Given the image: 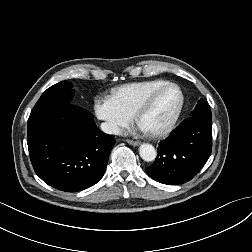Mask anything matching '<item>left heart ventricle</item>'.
Here are the masks:
<instances>
[{"instance_id":"obj_1","label":"left heart ventricle","mask_w":252,"mask_h":252,"mask_svg":"<svg viewBox=\"0 0 252 252\" xmlns=\"http://www.w3.org/2000/svg\"><path fill=\"white\" fill-rule=\"evenodd\" d=\"M181 100L180 92L175 87L164 89L155 98L152 106L144 113L141 126L147 131L165 127L175 114Z\"/></svg>"}]
</instances>
